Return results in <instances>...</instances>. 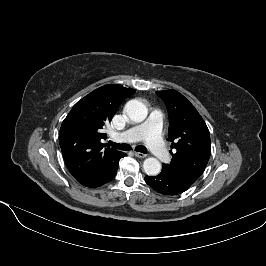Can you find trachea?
<instances>
[{"mask_svg":"<svg viewBox=\"0 0 266 266\" xmlns=\"http://www.w3.org/2000/svg\"><path fill=\"white\" fill-rule=\"evenodd\" d=\"M109 145L114 147V148H116V149L123 150V151L130 150V146L128 144H117V143L109 142ZM135 150L137 152H141V153H144V154L147 153V150H146V148L144 146H137L135 148Z\"/></svg>","mask_w":266,"mask_h":266,"instance_id":"1","label":"trachea"}]
</instances>
